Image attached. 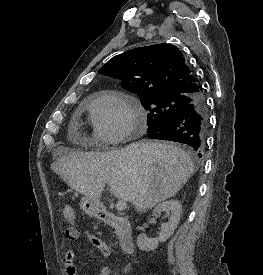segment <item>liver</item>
<instances>
[{"label": "liver", "mask_w": 263, "mask_h": 275, "mask_svg": "<svg viewBox=\"0 0 263 275\" xmlns=\"http://www.w3.org/2000/svg\"><path fill=\"white\" fill-rule=\"evenodd\" d=\"M80 194L99 199L105 185L116 197L146 211L176 195L196 168L188 153L157 141L109 152H64L51 166Z\"/></svg>", "instance_id": "6515ba94"}]
</instances>
